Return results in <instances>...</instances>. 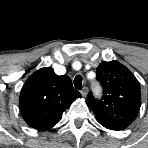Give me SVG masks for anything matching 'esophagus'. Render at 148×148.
<instances>
[{
  "label": "esophagus",
  "mask_w": 148,
  "mask_h": 148,
  "mask_svg": "<svg viewBox=\"0 0 148 148\" xmlns=\"http://www.w3.org/2000/svg\"><path fill=\"white\" fill-rule=\"evenodd\" d=\"M87 93H88V88L87 87H84L82 90H81V94L83 97H86L87 96Z\"/></svg>",
  "instance_id": "34e87169"
}]
</instances>
